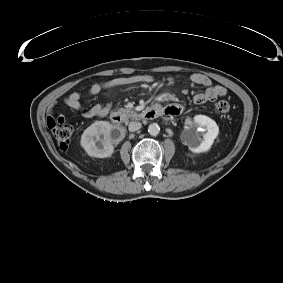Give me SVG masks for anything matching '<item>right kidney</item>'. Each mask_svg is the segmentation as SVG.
<instances>
[{
  "mask_svg": "<svg viewBox=\"0 0 283 283\" xmlns=\"http://www.w3.org/2000/svg\"><path fill=\"white\" fill-rule=\"evenodd\" d=\"M123 136L107 121H96L82 134L80 144L91 157L106 158L114 152V147Z\"/></svg>",
  "mask_w": 283,
  "mask_h": 283,
  "instance_id": "right-kidney-1",
  "label": "right kidney"
}]
</instances>
